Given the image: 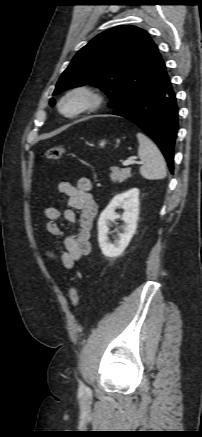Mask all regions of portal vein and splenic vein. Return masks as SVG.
Wrapping results in <instances>:
<instances>
[{
	"instance_id": "18ae733b",
	"label": "portal vein and splenic vein",
	"mask_w": 202,
	"mask_h": 437,
	"mask_svg": "<svg viewBox=\"0 0 202 437\" xmlns=\"http://www.w3.org/2000/svg\"><path fill=\"white\" fill-rule=\"evenodd\" d=\"M132 164H142V162H138V161H132V160H126L123 162V166H130Z\"/></svg>"
}]
</instances>
